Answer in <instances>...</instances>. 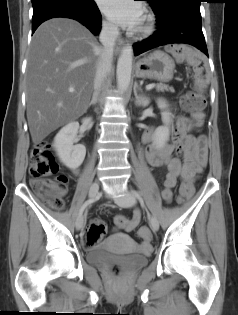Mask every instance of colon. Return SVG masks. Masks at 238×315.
<instances>
[{"label": "colon", "instance_id": "5ec220e1", "mask_svg": "<svg viewBox=\"0 0 238 315\" xmlns=\"http://www.w3.org/2000/svg\"><path fill=\"white\" fill-rule=\"evenodd\" d=\"M169 52L179 62L189 63L195 72L197 90L187 93L183 97V104L193 111V117L197 125H201L203 114L202 109L205 106V98L201 91L206 86L208 76V65L203 56L192 49L171 45ZM29 172L31 176V187L44 199L48 200L55 209H62L64 201L62 195L67 187V178L59 174V168L54 160L51 145L48 141H41L36 144L31 152ZM53 176V178H48ZM194 192L192 183L182 184L180 187L179 202L189 199ZM115 224L119 228H125L128 224V218L119 215L115 218ZM106 230L105 223L99 219L93 220L87 230V241L90 245L98 242ZM139 236L144 240L150 239V230L148 227L139 229Z\"/></svg>", "mask_w": 238, "mask_h": 315}]
</instances>
